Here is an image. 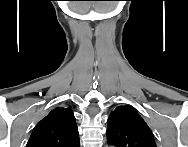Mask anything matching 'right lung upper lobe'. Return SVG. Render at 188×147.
I'll return each instance as SVG.
<instances>
[{
    "label": "right lung upper lobe",
    "mask_w": 188,
    "mask_h": 147,
    "mask_svg": "<svg viewBox=\"0 0 188 147\" xmlns=\"http://www.w3.org/2000/svg\"><path fill=\"white\" fill-rule=\"evenodd\" d=\"M27 147H80L72 110L64 107L53 109L36 125Z\"/></svg>",
    "instance_id": "cb5924a9"
}]
</instances>
